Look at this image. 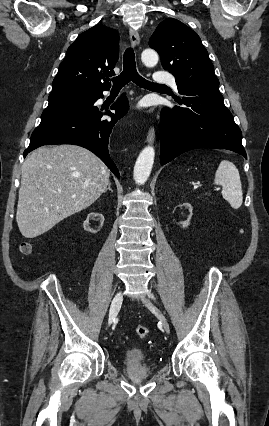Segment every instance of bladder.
<instances>
[{"mask_svg":"<svg viewBox=\"0 0 269 426\" xmlns=\"http://www.w3.org/2000/svg\"><path fill=\"white\" fill-rule=\"evenodd\" d=\"M123 363L129 368L143 366L146 363V355L138 349H130L124 354Z\"/></svg>","mask_w":269,"mask_h":426,"instance_id":"1","label":"bladder"}]
</instances>
